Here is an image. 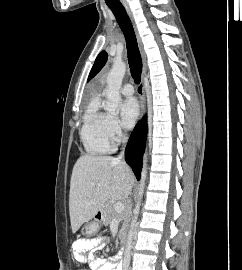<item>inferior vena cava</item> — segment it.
I'll list each match as a JSON object with an SVG mask.
<instances>
[{
	"label": "inferior vena cava",
	"instance_id": "obj_1",
	"mask_svg": "<svg viewBox=\"0 0 242 270\" xmlns=\"http://www.w3.org/2000/svg\"><path fill=\"white\" fill-rule=\"evenodd\" d=\"M124 143L126 142V139L123 141ZM124 156V151L121 152V154L118 156V159H121Z\"/></svg>",
	"mask_w": 242,
	"mask_h": 270
}]
</instances>
